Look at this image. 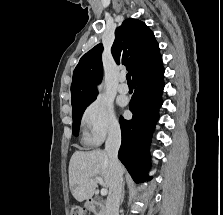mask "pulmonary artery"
I'll return each mask as SVG.
<instances>
[{
    "label": "pulmonary artery",
    "instance_id": "obj_1",
    "mask_svg": "<svg viewBox=\"0 0 223 215\" xmlns=\"http://www.w3.org/2000/svg\"><path fill=\"white\" fill-rule=\"evenodd\" d=\"M118 82H119L117 86L118 91L122 94H126L129 91V87L125 82V76L120 75L118 78Z\"/></svg>",
    "mask_w": 223,
    "mask_h": 215
}]
</instances>
